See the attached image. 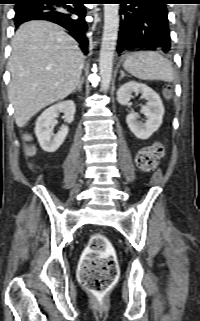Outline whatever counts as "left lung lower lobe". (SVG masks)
Wrapping results in <instances>:
<instances>
[{
  "mask_svg": "<svg viewBox=\"0 0 200 321\" xmlns=\"http://www.w3.org/2000/svg\"><path fill=\"white\" fill-rule=\"evenodd\" d=\"M121 4L117 52L135 48L170 51L166 4L171 0H117Z\"/></svg>",
  "mask_w": 200,
  "mask_h": 321,
  "instance_id": "1",
  "label": "left lung lower lobe"
}]
</instances>
